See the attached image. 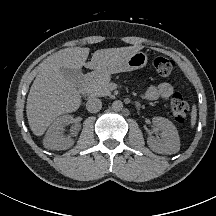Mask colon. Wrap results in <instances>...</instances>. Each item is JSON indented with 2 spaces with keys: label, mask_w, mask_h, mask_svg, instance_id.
<instances>
[{
  "label": "colon",
  "mask_w": 216,
  "mask_h": 216,
  "mask_svg": "<svg viewBox=\"0 0 216 216\" xmlns=\"http://www.w3.org/2000/svg\"><path fill=\"white\" fill-rule=\"evenodd\" d=\"M156 73L161 77L169 76L174 68V62L167 57H156L153 61ZM170 110L174 120L177 123L183 124L186 122L189 107L186 100L180 93H175L172 96Z\"/></svg>",
  "instance_id": "5ec220e1"
}]
</instances>
